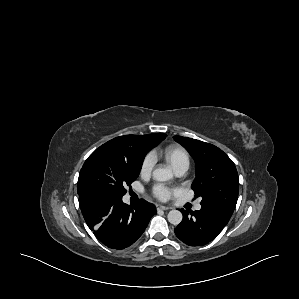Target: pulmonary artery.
<instances>
[{
  "mask_svg": "<svg viewBox=\"0 0 299 299\" xmlns=\"http://www.w3.org/2000/svg\"><path fill=\"white\" fill-rule=\"evenodd\" d=\"M186 171H187L186 167H180V168L175 170V173H176L177 176H182ZM200 209H201V204L196 203L195 206H194V210L199 211Z\"/></svg>",
  "mask_w": 299,
  "mask_h": 299,
  "instance_id": "obj_1",
  "label": "pulmonary artery"
}]
</instances>
